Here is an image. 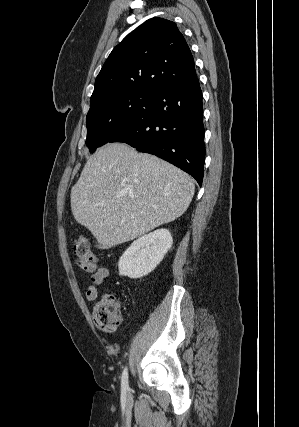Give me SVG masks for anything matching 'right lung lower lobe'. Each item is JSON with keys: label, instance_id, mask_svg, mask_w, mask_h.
I'll return each instance as SVG.
<instances>
[{"label": "right lung lower lobe", "instance_id": "obj_1", "mask_svg": "<svg viewBox=\"0 0 299 427\" xmlns=\"http://www.w3.org/2000/svg\"><path fill=\"white\" fill-rule=\"evenodd\" d=\"M203 138L202 92L196 77L158 90L147 111L109 142H124L156 155L189 173L201 186Z\"/></svg>", "mask_w": 299, "mask_h": 427}]
</instances>
